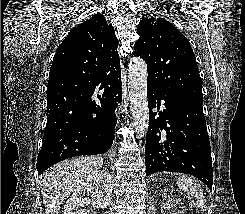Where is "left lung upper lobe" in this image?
<instances>
[{"instance_id":"1","label":"left lung upper lobe","mask_w":245,"mask_h":214,"mask_svg":"<svg viewBox=\"0 0 245 214\" xmlns=\"http://www.w3.org/2000/svg\"><path fill=\"white\" fill-rule=\"evenodd\" d=\"M132 54L142 57L148 70L147 86L175 96L203 98L202 80L187 38L161 18H144Z\"/></svg>"}]
</instances>
